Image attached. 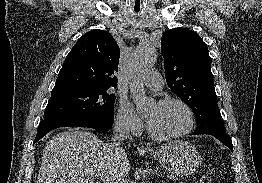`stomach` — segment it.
<instances>
[{"label":"stomach","instance_id":"0dacf381","mask_svg":"<svg viewBox=\"0 0 262 183\" xmlns=\"http://www.w3.org/2000/svg\"><path fill=\"white\" fill-rule=\"evenodd\" d=\"M153 155L167 171L181 177L194 173L201 162L196 148L183 140L168 142Z\"/></svg>","mask_w":262,"mask_h":183}]
</instances>
